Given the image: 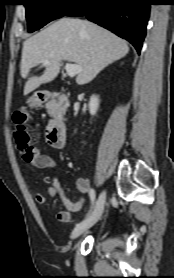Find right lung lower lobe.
Listing matches in <instances>:
<instances>
[{
	"mask_svg": "<svg viewBox=\"0 0 174 278\" xmlns=\"http://www.w3.org/2000/svg\"><path fill=\"white\" fill-rule=\"evenodd\" d=\"M150 0H78L65 16L90 21L128 40L140 53L146 35Z\"/></svg>",
	"mask_w": 174,
	"mask_h": 278,
	"instance_id": "obj_1",
	"label": "right lung lower lobe"
}]
</instances>
